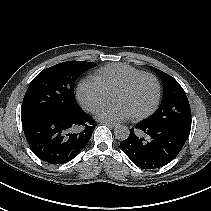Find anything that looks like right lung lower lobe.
<instances>
[{
    "label": "right lung lower lobe",
    "instance_id": "98d812e1",
    "mask_svg": "<svg viewBox=\"0 0 211 211\" xmlns=\"http://www.w3.org/2000/svg\"><path fill=\"white\" fill-rule=\"evenodd\" d=\"M32 152L41 160L57 165L66 163L89 142L96 122L83 110L69 115H41L22 119ZM81 128L78 133H71Z\"/></svg>",
    "mask_w": 211,
    "mask_h": 211
}]
</instances>
